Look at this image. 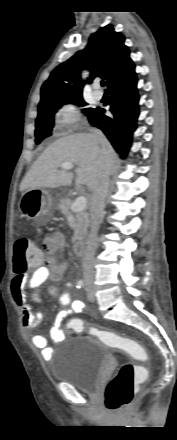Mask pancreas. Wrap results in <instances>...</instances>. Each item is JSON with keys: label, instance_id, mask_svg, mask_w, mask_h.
Listing matches in <instances>:
<instances>
[{"label": "pancreas", "instance_id": "obj_1", "mask_svg": "<svg viewBox=\"0 0 177 440\" xmlns=\"http://www.w3.org/2000/svg\"><path fill=\"white\" fill-rule=\"evenodd\" d=\"M73 201L71 199H61L58 208L61 213L67 218L70 224L74 227V234L72 241L81 240L87 234L89 226V215L86 210L74 212L72 210Z\"/></svg>", "mask_w": 177, "mask_h": 440}]
</instances>
